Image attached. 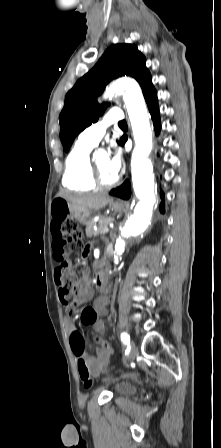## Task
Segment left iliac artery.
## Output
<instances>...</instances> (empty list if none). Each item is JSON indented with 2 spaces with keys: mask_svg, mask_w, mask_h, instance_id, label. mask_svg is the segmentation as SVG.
Returning <instances> with one entry per match:
<instances>
[{
  "mask_svg": "<svg viewBox=\"0 0 221 448\" xmlns=\"http://www.w3.org/2000/svg\"><path fill=\"white\" fill-rule=\"evenodd\" d=\"M121 340L124 345H128L130 343V336L127 333L123 332L121 333Z\"/></svg>",
  "mask_w": 221,
  "mask_h": 448,
  "instance_id": "left-iliac-artery-1",
  "label": "left iliac artery"
}]
</instances>
